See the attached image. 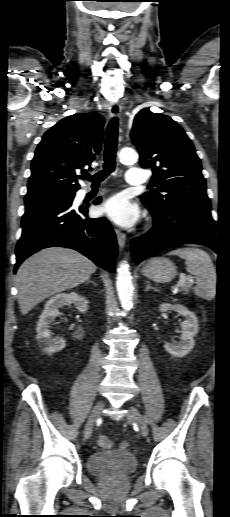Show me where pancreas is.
<instances>
[{"instance_id": "obj_1", "label": "pancreas", "mask_w": 230, "mask_h": 517, "mask_svg": "<svg viewBox=\"0 0 230 517\" xmlns=\"http://www.w3.org/2000/svg\"><path fill=\"white\" fill-rule=\"evenodd\" d=\"M190 287H191V284L188 283V284L184 285L182 290L185 291V292H188Z\"/></svg>"}]
</instances>
